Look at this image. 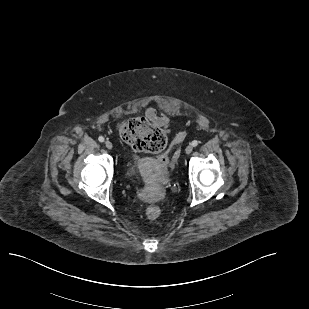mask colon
<instances>
[{
	"label": "colon",
	"mask_w": 309,
	"mask_h": 309,
	"mask_svg": "<svg viewBox=\"0 0 309 309\" xmlns=\"http://www.w3.org/2000/svg\"><path fill=\"white\" fill-rule=\"evenodd\" d=\"M118 134L121 139L133 149L148 153H161L159 163L163 170L167 165L169 153L165 151L167 147L166 135L156 126L148 122L143 117H132L122 121L118 125ZM185 138V133H179L174 139V145L179 144ZM165 151V152H164ZM160 208L151 204L146 208V217L155 220L160 215Z\"/></svg>",
	"instance_id": "obj_1"
}]
</instances>
